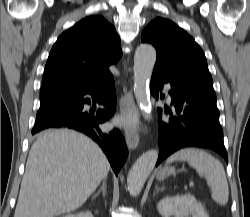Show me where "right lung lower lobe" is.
<instances>
[{
	"label": "right lung lower lobe",
	"instance_id": "right-lung-lower-lobe-1",
	"mask_svg": "<svg viewBox=\"0 0 250 217\" xmlns=\"http://www.w3.org/2000/svg\"><path fill=\"white\" fill-rule=\"evenodd\" d=\"M86 96H90L87 98ZM98 102L105 106L96 113L83 109L84 104ZM116 93L113 76L87 91L67 96L36 118L32 134L48 128H70L95 140L106 154L115 174L123 166L128 150L119 130L103 132L99 124L109 120L115 110Z\"/></svg>",
	"mask_w": 250,
	"mask_h": 217
}]
</instances>
